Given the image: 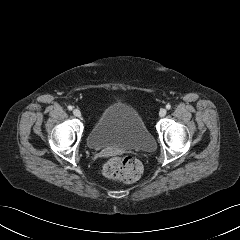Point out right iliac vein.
Instances as JSON below:
<instances>
[{"label": "right iliac vein", "mask_w": 240, "mask_h": 240, "mask_svg": "<svg viewBox=\"0 0 240 240\" xmlns=\"http://www.w3.org/2000/svg\"><path fill=\"white\" fill-rule=\"evenodd\" d=\"M73 114H74L75 117H78V118L81 117V112L78 109H74Z\"/></svg>", "instance_id": "1"}]
</instances>
